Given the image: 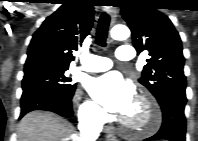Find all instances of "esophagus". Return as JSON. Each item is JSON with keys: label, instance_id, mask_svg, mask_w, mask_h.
<instances>
[{"label": "esophagus", "instance_id": "1", "mask_svg": "<svg viewBox=\"0 0 198 141\" xmlns=\"http://www.w3.org/2000/svg\"><path fill=\"white\" fill-rule=\"evenodd\" d=\"M109 14L111 16V26H113L117 17L116 10L110 9ZM105 132L108 140H114L116 138L115 131L112 127H106Z\"/></svg>", "mask_w": 198, "mask_h": 141}]
</instances>
